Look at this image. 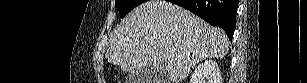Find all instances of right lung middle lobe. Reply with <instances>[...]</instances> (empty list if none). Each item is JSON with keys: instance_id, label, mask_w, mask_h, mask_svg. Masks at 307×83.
Instances as JSON below:
<instances>
[{"instance_id": "right-lung-middle-lobe-1", "label": "right lung middle lobe", "mask_w": 307, "mask_h": 83, "mask_svg": "<svg viewBox=\"0 0 307 83\" xmlns=\"http://www.w3.org/2000/svg\"><path fill=\"white\" fill-rule=\"evenodd\" d=\"M146 0H116L115 6L119 10L120 17H124L132 9L144 3Z\"/></svg>"}]
</instances>
